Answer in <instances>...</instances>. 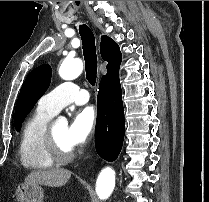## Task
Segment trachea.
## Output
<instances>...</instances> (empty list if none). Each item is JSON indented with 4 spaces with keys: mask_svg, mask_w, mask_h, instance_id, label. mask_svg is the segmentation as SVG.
I'll list each match as a JSON object with an SVG mask.
<instances>
[{
    "mask_svg": "<svg viewBox=\"0 0 209 202\" xmlns=\"http://www.w3.org/2000/svg\"><path fill=\"white\" fill-rule=\"evenodd\" d=\"M79 33L83 45L82 48L85 61L86 78L92 86H95L97 80L95 37L92 30L87 25H80Z\"/></svg>",
    "mask_w": 209,
    "mask_h": 202,
    "instance_id": "3493384b",
    "label": "trachea"
}]
</instances>
